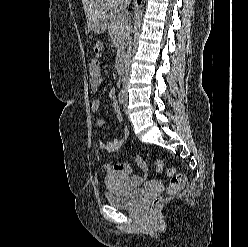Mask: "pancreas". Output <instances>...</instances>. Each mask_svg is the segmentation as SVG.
<instances>
[{
	"label": "pancreas",
	"instance_id": "cf45deb5",
	"mask_svg": "<svg viewBox=\"0 0 248 247\" xmlns=\"http://www.w3.org/2000/svg\"><path fill=\"white\" fill-rule=\"evenodd\" d=\"M108 32L111 40L117 48V55L124 51L125 39L127 36V23L124 16L119 14H109Z\"/></svg>",
	"mask_w": 248,
	"mask_h": 247
}]
</instances>
